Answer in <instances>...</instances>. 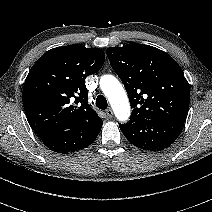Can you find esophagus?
<instances>
[{
    "label": "esophagus",
    "mask_w": 212,
    "mask_h": 212,
    "mask_svg": "<svg viewBox=\"0 0 212 212\" xmlns=\"http://www.w3.org/2000/svg\"><path fill=\"white\" fill-rule=\"evenodd\" d=\"M106 115H107L109 118H111V117L113 116V111H112L111 108H108V109L106 110Z\"/></svg>",
    "instance_id": "1"
}]
</instances>
